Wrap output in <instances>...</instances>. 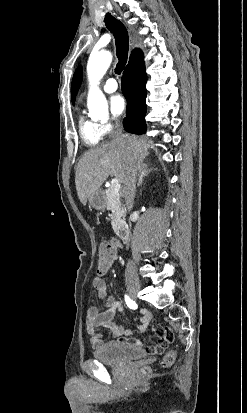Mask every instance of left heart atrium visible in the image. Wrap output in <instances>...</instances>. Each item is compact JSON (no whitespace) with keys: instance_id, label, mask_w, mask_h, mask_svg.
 I'll use <instances>...</instances> for the list:
<instances>
[{"instance_id":"obj_1","label":"left heart atrium","mask_w":247,"mask_h":413,"mask_svg":"<svg viewBox=\"0 0 247 413\" xmlns=\"http://www.w3.org/2000/svg\"><path fill=\"white\" fill-rule=\"evenodd\" d=\"M109 106L111 112L118 116L125 111L126 102L120 94H116L110 97Z\"/></svg>"}]
</instances>
